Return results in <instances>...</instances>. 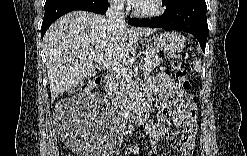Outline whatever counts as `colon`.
Here are the masks:
<instances>
[{
  "mask_svg": "<svg viewBox=\"0 0 247 156\" xmlns=\"http://www.w3.org/2000/svg\"><path fill=\"white\" fill-rule=\"evenodd\" d=\"M173 71H174V75L175 78L177 79V81L179 82L180 88L186 92L189 91L191 88V83L187 74V71L185 70L184 67H182V65L180 63L175 62L172 66ZM100 83L99 78H92L90 80H88L81 88L82 92H88L91 89H93L94 87H96L98 84ZM190 100H192V96H188ZM70 115L73 116L72 111L69 112V114H67L65 116L66 121H70Z\"/></svg>",
  "mask_w": 247,
  "mask_h": 156,
  "instance_id": "1",
  "label": "colon"
}]
</instances>
